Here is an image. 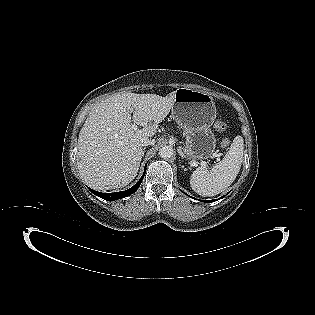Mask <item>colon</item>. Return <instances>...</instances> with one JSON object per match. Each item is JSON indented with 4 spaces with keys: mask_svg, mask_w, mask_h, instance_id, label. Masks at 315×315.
I'll use <instances>...</instances> for the list:
<instances>
[{
    "mask_svg": "<svg viewBox=\"0 0 315 315\" xmlns=\"http://www.w3.org/2000/svg\"><path fill=\"white\" fill-rule=\"evenodd\" d=\"M214 127L217 131H224L227 128V122L223 119L216 120ZM220 144L222 147L227 148L230 146L231 141L229 138L224 137L221 139Z\"/></svg>",
    "mask_w": 315,
    "mask_h": 315,
    "instance_id": "obj_1",
    "label": "colon"
}]
</instances>
